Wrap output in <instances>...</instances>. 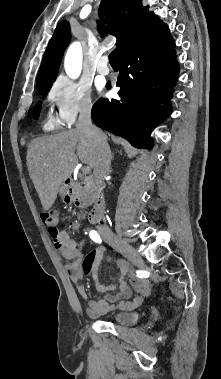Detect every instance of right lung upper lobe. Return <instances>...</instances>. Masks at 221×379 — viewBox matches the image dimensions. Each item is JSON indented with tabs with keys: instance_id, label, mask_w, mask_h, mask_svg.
<instances>
[{
	"instance_id": "1",
	"label": "right lung upper lobe",
	"mask_w": 221,
	"mask_h": 379,
	"mask_svg": "<svg viewBox=\"0 0 221 379\" xmlns=\"http://www.w3.org/2000/svg\"><path fill=\"white\" fill-rule=\"evenodd\" d=\"M104 13L108 29L98 23L99 31H107L117 38L118 56L153 28L161 23L159 18L142 6V0H102L100 15ZM70 42V27L67 21L60 22L50 39L37 75V89L52 86L55 81L62 54Z\"/></svg>"
}]
</instances>
